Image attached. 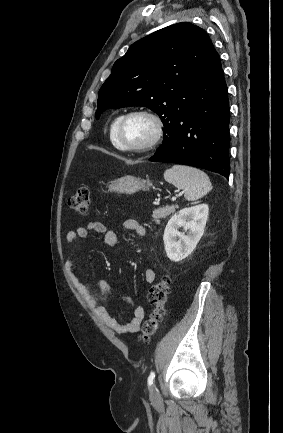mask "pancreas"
<instances>
[{
	"label": "pancreas",
	"mask_w": 283,
	"mask_h": 433,
	"mask_svg": "<svg viewBox=\"0 0 283 433\" xmlns=\"http://www.w3.org/2000/svg\"><path fill=\"white\" fill-rule=\"evenodd\" d=\"M176 208L177 204H172V206H165V208H155V210H153V214H151V217H153V221L165 219V217H168V214H171V212H175Z\"/></svg>",
	"instance_id": "pancreas-1"
}]
</instances>
